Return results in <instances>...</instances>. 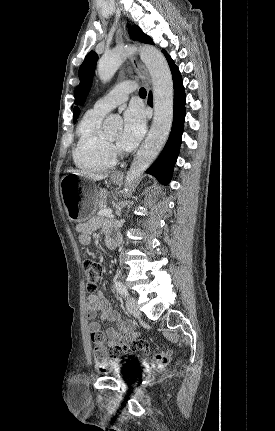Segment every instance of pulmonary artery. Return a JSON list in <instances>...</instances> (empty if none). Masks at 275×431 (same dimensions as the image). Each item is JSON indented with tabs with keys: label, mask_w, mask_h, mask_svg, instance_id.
Segmentation results:
<instances>
[{
	"label": "pulmonary artery",
	"mask_w": 275,
	"mask_h": 431,
	"mask_svg": "<svg viewBox=\"0 0 275 431\" xmlns=\"http://www.w3.org/2000/svg\"><path fill=\"white\" fill-rule=\"evenodd\" d=\"M135 90V84L131 81H124L115 86L108 94L96 101L94 109L107 113L118 105L127 101L128 96Z\"/></svg>",
	"instance_id": "obj_1"
}]
</instances>
